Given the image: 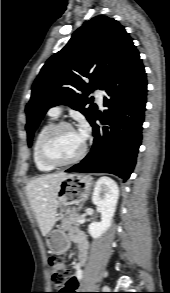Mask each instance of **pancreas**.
<instances>
[{
	"instance_id": "1",
	"label": "pancreas",
	"mask_w": 170,
	"mask_h": 293,
	"mask_svg": "<svg viewBox=\"0 0 170 293\" xmlns=\"http://www.w3.org/2000/svg\"><path fill=\"white\" fill-rule=\"evenodd\" d=\"M81 219L82 215L78 213V210L67 209L61 227L66 230H76L80 226Z\"/></svg>"
}]
</instances>
